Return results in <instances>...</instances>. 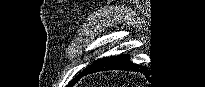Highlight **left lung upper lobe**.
I'll use <instances>...</instances> for the list:
<instances>
[{"label":"left lung upper lobe","instance_id":"1","mask_svg":"<svg viewBox=\"0 0 205 87\" xmlns=\"http://www.w3.org/2000/svg\"><path fill=\"white\" fill-rule=\"evenodd\" d=\"M79 75H77L73 80H71V82L68 84V87H72L78 81Z\"/></svg>","mask_w":205,"mask_h":87}]
</instances>
